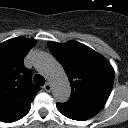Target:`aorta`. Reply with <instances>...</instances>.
<instances>
[{"instance_id":"1","label":"aorta","mask_w":128,"mask_h":128,"mask_svg":"<svg viewBox=\"0 0 128 128\" xmlns=\"http://www.w3.org/2000/svg\"><path fill=\"white\" fill-rule=\"evenodd\" d=\"M34 64L50 80L55 100L60 103L67 102L71 95V86L62 66L45 52H40L35 56Z\"/></svg>"}]
</instances>
